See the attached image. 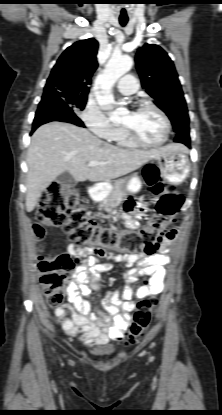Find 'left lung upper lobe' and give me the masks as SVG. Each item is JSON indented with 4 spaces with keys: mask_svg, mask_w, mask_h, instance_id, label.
Listing matches in <instances>:
<instances>
[{
    "mask_svg": "<svg viewBox=\"0 0 222 415\" xmlns=\"http://www.w3.org/2000/svg\"><path fill=\"white\" fill-rule=\"evenodd\" d=\"M142 87L172 122L176 134L189 132V117L173 61L158 45L145 44L135 57Z\"/></svg>",
    "mask_w": 222,
    "mask_h": 415,
    "instance_id": "5c2ea615",
    "label": "left lung upper lobe"
}]
</instances>
